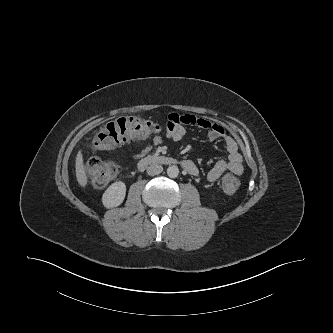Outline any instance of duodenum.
Returning a JSON list of instances; mask_svg holds the SVG:
<instances>
[{
    "label": "duodenum",
    "instance_id": "1",
    "mask_svg": "<svg viewBox=\"0 0 333 333\" xmlns=\"http://www.w3.org/2000/svg\"><path fill=\"white\" fill-rule=\"evenodd\" d=\"M175 163V160L171 157L163 156V155H149L144 158H142L138 163V169L144 170L150 165L153 164H162V165H168Z\"/></svg>",
    "mask_w": 333,
    "mask_h": 333
}]
</instances>
